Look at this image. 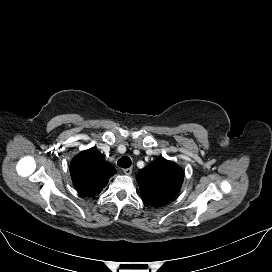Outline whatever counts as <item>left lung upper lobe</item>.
Instances as JSON below:
<instances>
[{"instance_id":"1","label":"left lung upper lobe","mask_w":272,"mask_h":272,"mask_svg":"<svg viewBox=\"0 0 272 272\" xmlns=\"http://www.w3.org/2000/svg\"><path fill=\"white\" fill-rule=\"evenodd\" d=\"M184 171L174 162L157 159L137 174L143 201L153 207L169 203L179 192Z\"/></svg>"}]
</instances>
